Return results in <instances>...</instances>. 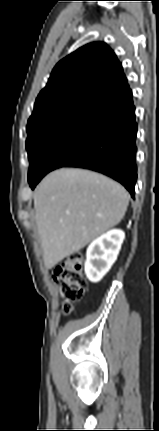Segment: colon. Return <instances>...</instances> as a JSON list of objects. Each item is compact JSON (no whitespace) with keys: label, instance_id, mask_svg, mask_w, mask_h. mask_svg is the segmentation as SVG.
<instances>
[{"label":"colon","instance_id":"1","mask_svg":"<svg viewBox=\"0 0 159 431\" xmlns=\"http://www.w3.org/2000/svg\"><path fill=\"white\" fill-rule=\"evenodd\" d=\"M54 281L60 286L65 299L64 314H70L73 303L80 301L88 287L84 275L83 255L80 252L71 253L63 259L54 269Z\"/></svg>","mask_w":159,"mask_h":431}]
</instances>
